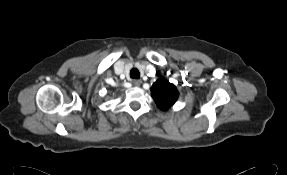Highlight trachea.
Instances as JSON below:
<instances>
[{"mask_svg": "<svg viewBox=\"0 0 287 175\" xmlns=\"http://www.w3.org/2000/svg\"><path fill=\"white\" fill-rule=\"evenodd\" d=\"M130 77L134 79H138L140 77L139 70L137 68H132L130 71Z\"/></svg>", "mask_w": 287, "mask_h": 175, "instance_id": "3493384b", "label": "trachea"}]
</instances>
